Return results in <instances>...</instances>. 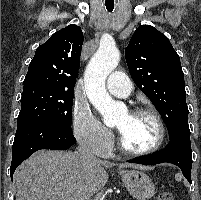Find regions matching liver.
I'll return each mask as SVG.
<instances>
[{"mask_svg": "<svg viewBox=\"0 0 201 200\" xmlns=\"http://www.w3.org/2000/svg\"><path fill=\"white\" fill-rule=\"evenodd\" d=\"M114 163L80 159L77 152L41 150L29 157L16 171V200H82L102 189L106 168ZM121 168L145 169L122 163Z\"/></svg>", "mask_w": 201, "mask_h": 200, "instance_id": "6515ba94", "label": "liver"}]
</instances>
